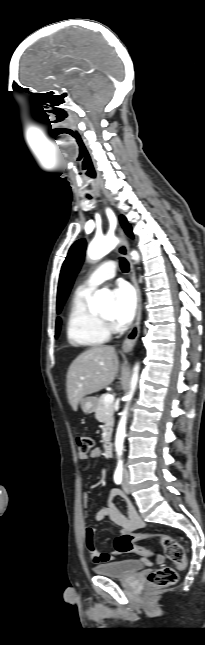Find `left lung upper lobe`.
<instances>
[{
  "label": "left lung upper lobe",
  "instance_id": "1",
  "mask_svg": "<svg viewBox=\"0 0 205 645\" xmlns=\"http://www.w3.org/2000/svg\"><path fill=\"white\" fill-rule=\"evenodd\" d=\"M119 219L125 233L129 237L133 238L132 228L130 224L127 222V219L123 215H121ZM85 250H86V241L84 239H80L76 241L71 246L68 252V255L62 265L59 285H58V294H57L58 312H60L72 288L74 279L84 260Z\"/></svg>",
  "mask_w": 205,
  "mask_h": 645
}]
</instances>
